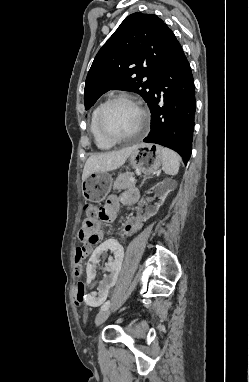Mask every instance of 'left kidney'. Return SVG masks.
I'll return each mask as SVG.
<instances>
[{"instance_id":"left-kidney-1","label":"left kidney","mask_w":249,"mask_h":382,"mask_svg":"<svg viewBox=\"0 0 249 382\" xmlns=\"http://www.w3.org/2000/svg\"><path fill=\"white\" fill-rule=\"evenodd\" d=\"M177 186L175 180L164 179L162 182L151 186V193L145 197V201H138V208H154L158 211L159 207L164 203L167 195ZM158 203V204H156ZM117 237H108L102 240L101 245L93 250V254L86 264L85 283H90L96 277H100L103 273V280L98 281V285L94 291H89L88 296L82 299V304L87 307H100L101 302H106L110 298L111 287H114L116 278L121 272V265L124 258L125 245H120ZM102 257H113L114 260L102 262ZM107 266V267H106Z\"/></svg>"}]
</instances>
